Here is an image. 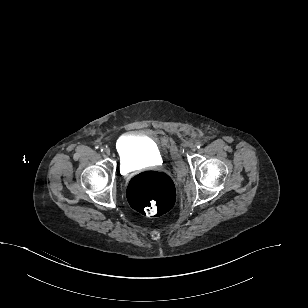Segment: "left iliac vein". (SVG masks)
<instances>
[{"label":"left iliac vein","mask_w":308,"mask_h":308,"mask_svg":"<svg viewBox=\"0 0 308 308\" xmlns=\"http://www.w3.org/2000/svg\"><path fill=\"white\" fill-rule=\"evenodd\" d=\"M189 148L192 150V151H195L197 149V146L193 143L189 144Z\"/></svg>","instance_id":"4c4485c4"}]
</instances>
